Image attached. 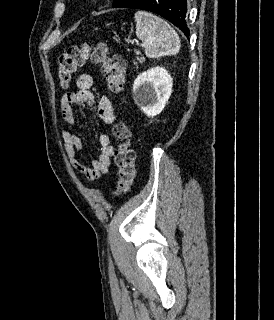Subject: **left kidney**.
Here are the masks:
<instances>
[{
  "label": "left kidney",
  "mask_w": 274,
  "mask_h": 320,
  "mask_svg": "<svg viewBox=\"0 0 274 320\" xmlns=\"http://www.w3.org/2000/svg\"><path fill=\"white\" fill-rule=\"evenodd\" d=\"M173 78L164 68H151L137 76L133 84L135 104L146 116L161 114L172 94Z\"/></svg>",
  "instance_id": "left-kidney-1"
}]
</instances>
